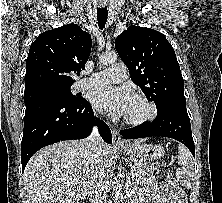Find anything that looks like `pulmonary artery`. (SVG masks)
<instances>
[{
    "mask_svg": "<svg viewBox=\"0 0 222 203\" xmlns=\"http://www.w3.org/2000/svg\"><path fill=\"white\" fill-rule=\"evenodd\" d=\"M126 78V66L123 63H116L102 71L91 74L89 77L79 81L80 88L102 85L107 83L121 82Z\"/></svg>",
    "mask_w": 222,
    "mask_h": 203,
    "instance_id": "pulmonary-artery-1",
    "label": "pulmonary artery"
}]
</instances>
